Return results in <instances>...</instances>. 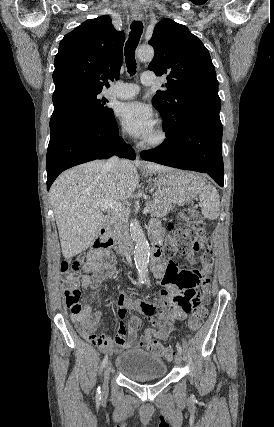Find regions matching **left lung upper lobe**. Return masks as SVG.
<instances>
[{
  "label": "left lung upper lobe",
  "mask_w": 274,
  "mask_h": 427,
  "mask_svg": "<svg viewBox=\"0 0 274 427\" xmlns=\"http://www.w3.org/2000/svg\"><path fill=\"white\" fill-rule=\"evenodd\" d=\"M149 44L155 55L148 69L168 75L167 90L157 91L152 99L166 134L194 116L219 118L218 81L203 43L184 25L164 18L155 26Z\"/></svg>",
  "instance_id": "obj_1"
}]
</instances>
